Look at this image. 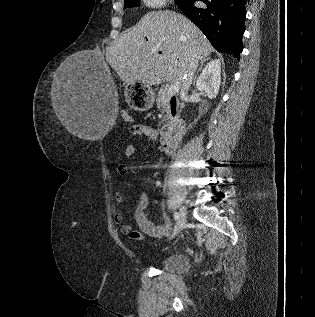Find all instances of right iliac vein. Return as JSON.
I'll return each mask as SVG.
<instances>
[{
  "mask_svg": "<svg viewBox=\"0 0 315 317\" xmlns=\"http://www.w3.org/2000/svg\"><path fill=\"white\" fill-rule=\"evenodd\" d=\"M185 223H186V211L184 207H181L179 211V219L173 230L171 238H174L183 229V227L185 226Z\"/></svg>",
  "mask_w": 315,
  "mask_h": 317,
  "instance_id": "obj_1",
  "label": "right iliac vein"
}]
</instances>
